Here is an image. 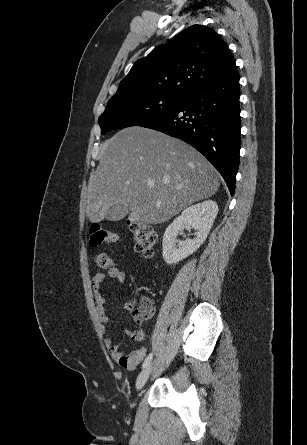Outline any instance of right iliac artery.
<instances>
[{"label":"right iliac artery","instance_id":"right-iliac-artery-1","mask_svg":"<svg viewBox=\"0 0 307 445\" xmlns=\"http://www.w3.org/2000/svg\"><path fill=\"white\" fill-rule=\"evenodd\" d=\"M152 356H153V354L150 353V354L146 357V359L144 360V362H143V364H142V368H146V367L150 364V362H151V360H152Z\"/></svg>","mask_w":307,"mask_h":445}]
</instances>
